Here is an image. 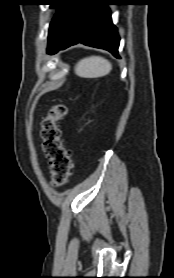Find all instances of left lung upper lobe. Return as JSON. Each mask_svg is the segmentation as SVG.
<instances>
[{"label": "left lung upper lobe", "instance_id": "1", "mask_svg": "<svg viewBox=\"0 0 174 278\" xmlns=\"http://www.w3.org/2000/svg\"><path fill=\"white\" fill-rule=\"evenodd\" d=\"M51 7L58 10L50 23L47 51L53 48L66 35L72 16L77 8L78 0H51Z\"/></svg>", "mask_w": 174, "mask_h": 278}]
</instances>
